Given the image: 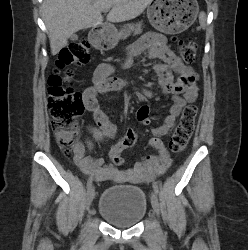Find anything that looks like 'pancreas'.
Segmentation results:
<instances>
[{"label":"pancreas","instance_id":"pancreas-1","mask_svg":"<svg viewBox=\"0 0 248 250\" xmlns=\"http://www.w3.org/2000/svg\"><path fill=\"white\" fill-rule=\"evenodd\" d=\"M142 24L137 23V24H129L127 25V28L120 33H118L119 38H126L128 35H130L131 32H134V34H140L142 32L141 29Z\"/></svg>","mask_w":248,"mask_h":250}]
</instances>
